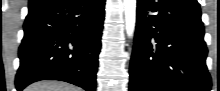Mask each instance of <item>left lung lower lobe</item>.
Wrapping results in <instances>:
<instances>
[{
	"label": "left lung lower lobe",
	"mask_w": 220,
	"mask_h": 91,
	"mask_svg": "<svg viewBox=\"0 0 220 91\" xmlns=\"http://www.w3.org/2000/svg\"><path fill=\"white\" fill-rule=\"evenodd\" d=\"M197 0H137L130 91H210Z\"/></svg>",
	"instance_id": "obj_1"
}]
</instances>
